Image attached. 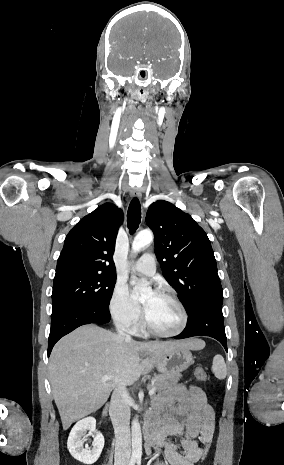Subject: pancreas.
<instances>
[{
    "instance_id": "cf45deb5",
    "label": "pancreas",
    "mask_w": 284,
    "mask_h": 465,
    "mask_svg": "<svg viewBox=\"0 0 284 465\" xmlns=\"http://www.w3.org/2000/svg\"><path fill=\"white\" fill-rule=\"evenodd\" d=\"M181 377L182 375H180L179 371H175V373H163V375H155L150 385H148L149 391H151V389H155V393L154 395H151V399L156 397V393H162V391H168V389H172L173 385H177Z\"/></svg>"
}]
</instances>
